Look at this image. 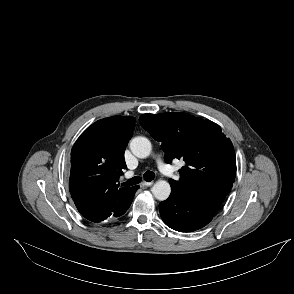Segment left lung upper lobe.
I'll list each match as a JSON object with an SVG mask.
<instances>
[{"instance_id":"5c2ea615","label":"left lung upper lobe","mask_w":294,"mask_h":294,"mask_svg":"<svg viewBox=\"0 0 294 294\" xmlns=\"http://www.w3.org/2000/svg\"><path fill=\"white\" fill-rule=\"evenodd\" d=\"M141 126L160 141L165 160L183 159L180 179H169L177 192L225 197L233 186L236 159L232 142L216 123L186 113L143 114Z\"/></svg>"}]
</instances>
